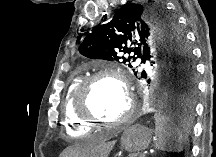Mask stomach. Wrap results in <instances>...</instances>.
<instances>
[{
    "label": "stomach",
    "mask_w": 216,
    "mask_h": 157,
    "mask_svg": "<svg viewBox=\"0 0 216 157\" xmlns=\"http://www.w3.org/2000/svg\"><path fill=\"white\" fill-rule=\"evenodd\" d=\"M152 131L141 125H133L123 132L122 144L130 152H140L148 148Z\"/></svg>",
    "instance_id": "0dacf381"
}]
</instances>
